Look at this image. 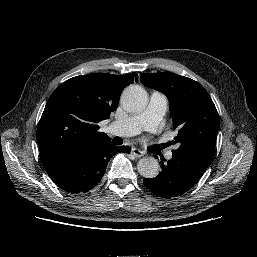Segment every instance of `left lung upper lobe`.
<instances>
[{
    "instance_id": "obj_1",
    "label": "left lung upper lobe",
    "mask_w": 257,
    "mask_h": 257,
    "mask_svg": "<svg viewBox=\"0 0 257 257\" xmlns=\"http://www.w3.org/2000/svg\"><path fill=\"white\" fill-rule=\"evenodd\" d=\"M141 82L163 92L169 99L173 125L178 130L177 152L189 153L211 164L219 117L216 107L198 82L171 72L142 73Z\"/></svg>"
}]
</instances>
